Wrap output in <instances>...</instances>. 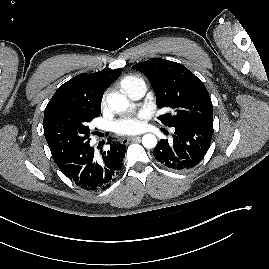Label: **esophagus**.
Returning a JSON list of instances; mask_svg holds the SVG:
<instances>
[{
	"label": "esophagus",
	"mask_w": 269,
	"mask_h": 269,
	"mask_svg": "<svg viewBox=\"0 0 269 269\" xmlns=\"http://www.w3.org/2000/svg\"><path fill=\"white\" fill-rule=\"evenodd\" d=\"M139 139H140L139 136H134V137H129V138H123V139L121 140V143L124 144V145H126V144H128L130 141H137V140H139Z\"/></svg>",
	"instance_id": "obj_1"
}]
</instances>
